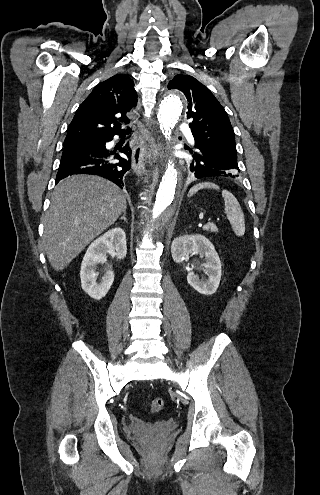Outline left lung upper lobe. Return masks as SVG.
<instances>
[{
  "instance_id": "1",
  "label": "left lung upper lobe",
  "mask_w": 320,
  "mask_h": 495,
  "mask_svg": "<svg viewBox=\"0 0 320 495\" xmlns=\"http://www.w3.org/2000/svg\"><path fill=\"white\" fill-rule=\"evenodd\" d=\"M168 89H177L185 94L187 118L195 142L237 160L233 128L226 111L211 91L194 77L184 74L176 75L169 82ZM187 149L191 153V149Z\"/></svg>"
}]
</instances>
